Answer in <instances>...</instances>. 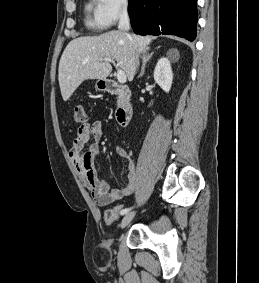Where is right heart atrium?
<instances>
[{
  "instance_id": "d8ad5b80",
  "label": "right heart atrium",
  "mask_w": 259,
  "mask_h": 283,
  "mask_svg": "<svg viewBox=\"0 0 259 283\" xmlns=\"http://www.w3.org/2000/svg\"><path fill=\"white\" fill-rule=\"evenodd\" d=\"M96 15L104 28L115 26L131 10L129 0H95Z\"/></svg>"
}]
</instances>
